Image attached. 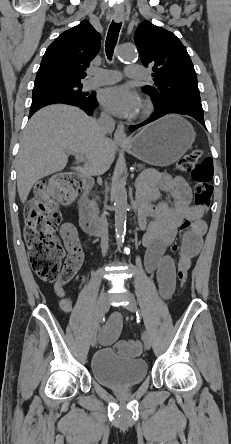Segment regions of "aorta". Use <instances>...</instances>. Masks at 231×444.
<instances>
[{"label":"aorta","mask_w":231,"mask_h":444,"mask_svg":"<svg viewBox=\"0 0 231 444\" xmlns=\"http://www.w3.org/2000/svg\"><path fill=\"white\" fill-rule=\"evenodd\" d=\"M117 57L123 61H132L136 58L134 48L121 45L117 50ZM126 180L118 171L114 175V211H115V236L117 243L124 240L126 233V218L128 210Z\"/></svg>","instance_id":"obj_1"}]
</instances>
